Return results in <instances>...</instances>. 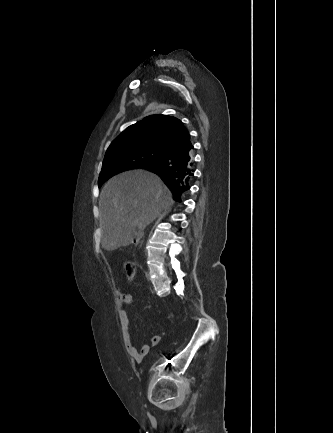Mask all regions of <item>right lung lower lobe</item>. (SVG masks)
I'll list each match as a JSON object with an SVG mask.
<instances>
[{"instance_id": "1", "label": "right lung lower lobe", "mask_w": 333, "mask_h": 433, "mask_svg": "<svg viewBox=\"0 0 333 433\" xmlns=\"http://www.w3.org/2000/svg\"><path fill=\"white\" fill-rule=\"evenodd\" d=\"M193 149L192 144L178 148L168 153L160 162L146 168L161 177L178 201L181 194L190 189L194 175Z\"/></svg>"}]
</instances>
